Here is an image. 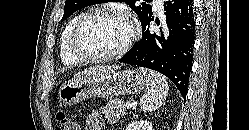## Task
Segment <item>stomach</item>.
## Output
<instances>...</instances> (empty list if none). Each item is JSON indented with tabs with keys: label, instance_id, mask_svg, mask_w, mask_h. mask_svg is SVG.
I'll list each match as a JSON object with an SVG mask.
<instances>
[{
	"label": "stomach",
	"instance_id": "obj_1",
	"mask_svg": "<svg viewBox=\"0 0 249 130\" xmlns=\"http://www.w3.org/2000/svg\"><path fill=\"white\" fill-rule=\"evenodd\" d=\"M145 86V76L138 70L98 72L63 83L58 91V100L64 106H72L91 97L113 98L136 94Z\"/></svg>",
	"mask_w": 249,
	"mask_h": 130
}]
</instances>
